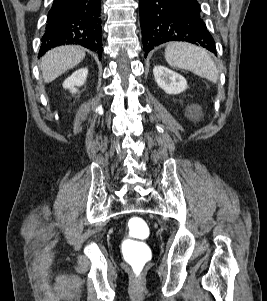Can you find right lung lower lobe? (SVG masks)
Returning a JSON list of instances; mask_svg holds the SVG:
<instances>
[{
	"label": "right lung lower lobe",
	"mask_w": 267,
	"mask_h": 301,
	"mask_svg": "<svg viewBox=\"0 0 267 301\" xmlns=\"http://www.w3.org/2000/svg\"><path fill=\"white\" fill-rule=\"evenodd\" d=\"M101 31V0H54L39 57L53 47L76 44L99 53L100 59Z\"/></svg>",
	"instance_id": "obj_1"
}]
</instances>
